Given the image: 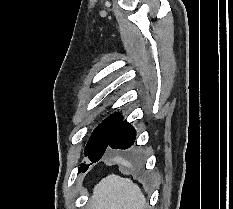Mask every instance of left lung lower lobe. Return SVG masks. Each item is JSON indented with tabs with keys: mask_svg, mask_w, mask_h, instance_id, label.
I'll list each match as a JSON object with an SVG mask.
<instances>
[{
	"mask_svg": "<svg viewBox=\"0 0 233 209\" xmlns=\"http://www.w3.org/2000/svg\"><path fill=\"white\" fill-rule=\"evenodd\" d=\"M135 129L127 122L121 121L112 134L108 143L107 151L111 149H127L129 148L135 139ZM92 163L97 162L100 158L89 157ZM90 164H81L78 172H85Z\"/></svg>",
	"mask_w": 233,
	"mask_h": 209,
	"instance_id": "left-lung-lower-lobe-1",
	"label": "left lung lower lobe"
}]
</instances>
